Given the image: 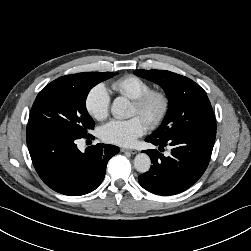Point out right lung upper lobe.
<instances>
[{"label":"right lung upper lobe","mask_w":251,"mask_h":251,"mask_svg":"<svg viewBox=\"0 0 251 251\" xmlns=\"http://www.w3.org/2000/svg\"><path fill=\"white\" fill-rule=\"evenodd\" d=\"M79 75H80V73L72 74V75H66V76H62V77L56 79L55 81H72V80H75L76 78H78Z\"/></svg>","instance_id":"obj_1"}]
</instances>
